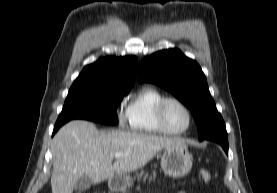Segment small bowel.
<instances>
[{
	"mask_svg": "<svg viewBox=\"0 0 277 193\" xmlns=\"http://www.w3.org/2000/svg\"><path fill=\"white\" fill-rule=\"evenodd\" d=\"M178 193H186L185 191H180V192H178Z\"/></svg>",
	"mask_w": 277,
	"mask_h": 193,
	"instance_id": "1",
	"label": "small bowel"
}]
</instances>
